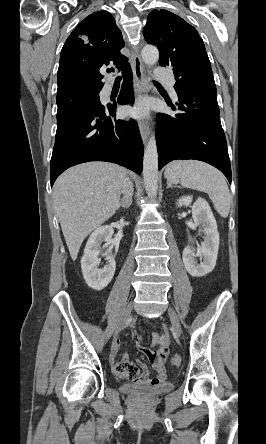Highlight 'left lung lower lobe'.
I'll use <instances>...</instances> for the list:
<instances>
[{
	"mask_svg": "<svg viewBox=\"0 0 266 444\" xmlns=\"http://www.w3.org/2000/svg\"><path fill=\"white\" fill-rule=\"evenodd\" d=\"M177 96V110L181 113L175 117L157 114L159 170L172 160L195 159L218 168L231 183V166L216 92H177Z\"/></svg>",
	"mask_w": 266,
	"mask_h": 444,
	"instance_id": "left-lung-lower-lobe-1",
	"label": "left lung lower lobe"
}]
</instances>
